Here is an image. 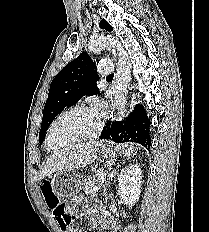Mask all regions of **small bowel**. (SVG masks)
<instances>
[{
  "label": "small bowel",
  "instance_id": "1",
  "mask_svg": "<svg viewBox=\"0 0 209 232\" xmlns=\"http://www.w3.org/2000/svg\"><path fill=\"white\" fill-rule=\"evenodd\" d=\"M77 198H78V195L74 194L73 198H70L69 201L67 202L66 209H68V213H77V208H75V204H74L76 202ZM86 211H87V209H85V208H83L81 210L82 213H85ZM106 223L110 224L111 222L110 221H106ZM63 230H64V232H81V230H79L78 228H74V227H68V228L63 229ZM112 231L116 232L117 228L113 227Z\"/></svg>",
  "mask_w": 209,
  "mask_h": 232
}]
</instances>
